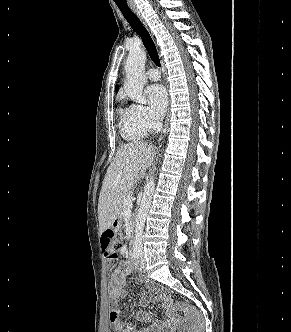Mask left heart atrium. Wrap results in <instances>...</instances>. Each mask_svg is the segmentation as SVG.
I'll return each mask as SVG.
<instances>
[{"label":"left heart atrium","instance_id":"1","mask_svg":"<svg viewBox=\"0 0 291 332\" xmlns=\"http://www.w3.org/2000/svg\"><path fill=\"white\" fill-rule=\"evenodd\" d=\"M146 96L150 104V113L154 119H161L166 112L168 96L165 88L154 84L146 89Z\"/></svg>","mask_w":291,"mask_h":332}]
</instances>
